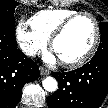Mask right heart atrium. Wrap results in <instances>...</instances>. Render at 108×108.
<instances>
[{"instance_id":"obj_1","label":"right heart atrium","mask_w":108,"mask_h":108,"mask_svg":"<svg viewBox=\"0 0 108 108\" xmlns=\"http://www.w3.org/2000/svg\"><path fill=\"white\" fill-rule=\"evenodd\" d=\"M16 38L22 51L30 57L36 56L48 43L47 39L30 29L24 21L16 26Z\"/></svg>"}]
</instances>
